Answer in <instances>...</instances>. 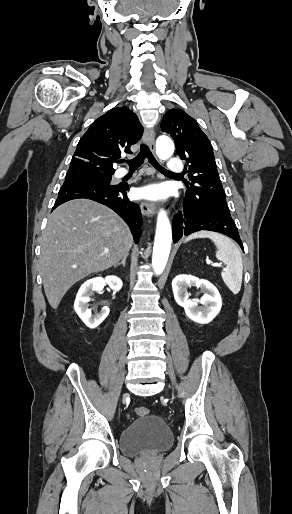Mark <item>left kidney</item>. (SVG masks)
<instances>
[{
  "label": "left kidney",
  "instance_id": "1",
  "mask_svg": "<svg viewBox=\"0 0 292 514\" xmlns=\"http://www.w3.org/2000/svg\"><path fill=\"white\" fill-rule=\"evenodd\" d=\"M196 286L201 288L204 292V296L200 300H189L190 294H188V288ZM174 298L185 310L186 316L197 322V324H209L214 320L215 316L219 314L222 308L221 296L208 280H199L195 276H186V274H180L176 276L172 282ZM202 304V306H198Z\"/></svg>",
  "mask_w": 292,
  "mask_h": 514
}]
</instances>
